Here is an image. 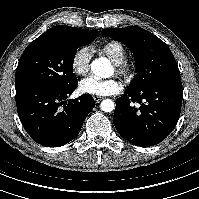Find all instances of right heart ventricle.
Returning a JSON list of instances; mask_svg holds the SVG:
<instances>
[{
    "mask_svg": "<svg viewBox=\"0 0 199 199\" xmlns=\"http://www.w3.org/2000/svg\"><path fill=\"white\" fill-rule=\"evenodd\" d=\"M98 49L115 65H119L124 62L127 56L125 47L120 42L115 40H110L101 44Z\"/></svg>",
    "mask_w": 199,
    "mask_h": 199,
    "instance_id": "1",
    "label": "right heart ventricle"
}]
</instances>
